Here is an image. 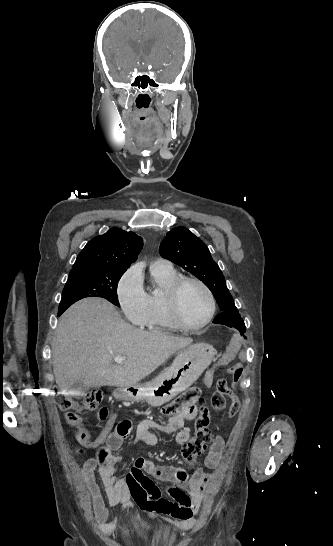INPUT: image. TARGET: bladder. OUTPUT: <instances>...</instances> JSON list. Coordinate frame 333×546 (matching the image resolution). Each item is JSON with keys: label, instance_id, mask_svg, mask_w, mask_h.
<instances>
[{"label": "bladder", "instance_id": "1", "mask_svg": "<svg viewBox=\"0 0 333 546\" xmlns=\"http://www.w3.org/2000/svg\"><path fill=\"white\" fill-rule=\"evenodd\" d=\"M138 529L143 531H153L154 526L147 520H141L138 525Z\"/></svg>", "mask_w": 333, "mask_h": 546}]
</instances>
